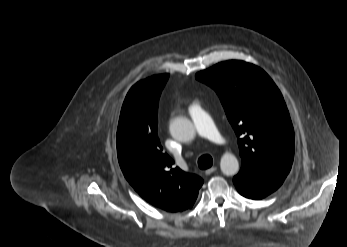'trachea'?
<instances>
[{"mask_svg":"<svg viewBox=\"0 0 347 247\" xmlns=\"http://www.w3.org/2000/svg\"><path fill=\"white\" fill-rule=\"evenodd\" d=\"M213 159L210 155H203L198 159V166L201 169H208L212 166Z\"/></svg>","mask_w":347,"mask_h":247,"instance_id":"3493384b","label":"trachea"}]
</instances>
